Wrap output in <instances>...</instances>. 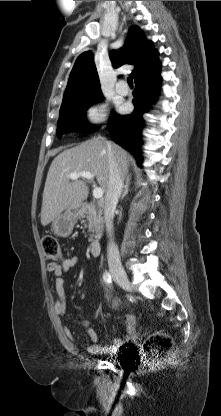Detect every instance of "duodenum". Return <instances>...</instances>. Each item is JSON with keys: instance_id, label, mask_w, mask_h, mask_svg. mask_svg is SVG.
<instances>
[{"instance_id": "obj_1", "label": "duodenum", "mask_w": 221, "mask_h": 416, "mask_svg": "<svg viewBox=\"0 0 221 416\" xmlns=\"http://www.w3.org/2000/svg\"><path fill=\"white\" fill-rule=\"evenodd\" d=\"M82 207H83L82 205H79L76 208H74L72 212L78 213L82 209ZM100 249H101V239L94 238L89 244V248H88L89 254L94 257L99 256Z\"/></svg>"}]
</instances>
